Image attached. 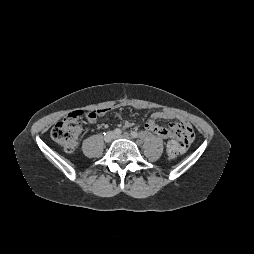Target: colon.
Segmentation results:
<instances>
[{
	"label": "colon",
	"mask_w": 254,
	"mask_h": 254,
	"mask_svg": "<svg viewBox=\"0 0 254 254\" xmlns=\"http://www.w3.org/2000/svg\"><path fill=\"white\" fill-rule=\"evenodd\" d=\"M84 114L82 111H76L66 116L63 120L55 124L51 130L52 139L61 145L67 152H72L76 149L79 138L82 132L80 117ZM99 114V110L90 111L87 116L94 118ZM179 135H188L191 130L189 127L180 126L177 129ZM168 157L176 158L181 154V145L178 141H171L167 148Z\"/></svg>",
	"instance_id": "colon-1"
}]
</instances>
